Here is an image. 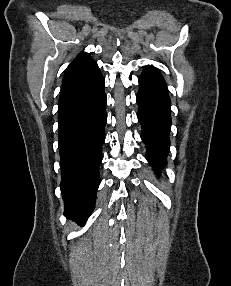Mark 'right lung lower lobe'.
Listing matches in <instances>:
<instances>
[{"mask_svg":"<svg viewBox=\"0 0 231 286\" xmlns=\"http://www.w3.org/2000/svg\"><path fill=\"white\" fill-rule=\"evenodd\" d=\"M104 78L98 71L63 81L59 97V151L64 213L84 222L100 184L106 124Z\"/></svg>","mask_w":231,"mask_h":286,"instance_id":"right-lung-lower-lobe-1","label":"right lung lower lobe"}]
</instances>
